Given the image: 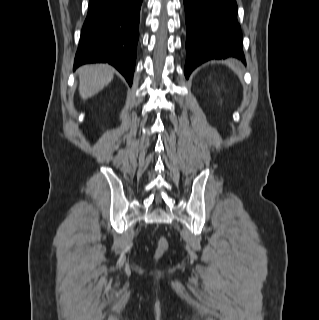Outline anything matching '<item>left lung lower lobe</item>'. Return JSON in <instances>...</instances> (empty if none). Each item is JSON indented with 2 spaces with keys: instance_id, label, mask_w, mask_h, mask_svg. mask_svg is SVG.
Returning a JSON list of instances; mask_svg holds the SVG:
<instances>
[{
  "instance_id": "1",
  "label": "left lung lower lobe",
  "mask_w": 319,
  "mask_h": 320,
  "mask_svg": "<svg viewBox=\"0 0 319 320\" xmlns=\"http://www.w3.org/2000/svg\"><path fill=\"white\" fill-rule=\"evenodd\" d=\"M187 26L185 76L211 59L245 63L236 0H184Z\"/></svg>"
}]
</instances>
